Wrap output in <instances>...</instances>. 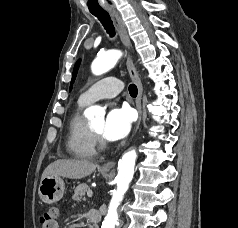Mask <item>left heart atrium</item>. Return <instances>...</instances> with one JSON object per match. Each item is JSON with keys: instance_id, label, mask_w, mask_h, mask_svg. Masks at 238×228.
Returning <instances> with one entry per match:
<instances>
[{"instance_id": "1", "label": "left heart atrium", "mask_w": 238, "mask_h": 228, "mask_svg": "<svg viewBox=\"0 0 238 228\" xmlns=\"http://www.w3.org/2000/svg\"><path fill=\"white\" fill-rule=\"evenodd\" d=\"M133 115L127 107L111 108L103 125V137L109 141H118L127 136L131 129Z\"/></svg>"}]
</instances>
